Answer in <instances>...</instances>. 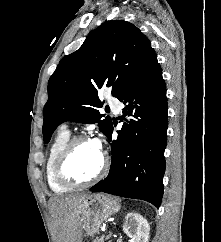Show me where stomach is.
Masks as SVG:
<instances>
[{
	"mask_svg": "<svg viewBox=\"0 0 221 242\" xmlns=\"http://www.w3.org/2000/svg\"><path fill=\"white\" fill-rule=\"evenodd\" d=\"M120 207V201L117 198L104 194L89 195L79 209L82 230L90 237L98 234L103 221L117 213Z\"/></svg>",
	"mask_w": 221,
	"mask_h": 242,
	"instance_id": "0dacf381",
	"label": "stomach"
}]
</instances>
